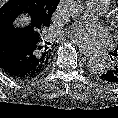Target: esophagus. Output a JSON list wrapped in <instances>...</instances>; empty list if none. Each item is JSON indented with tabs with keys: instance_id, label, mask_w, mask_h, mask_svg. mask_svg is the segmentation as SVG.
Instances as JSON below:
<instances>
[{
	"instance_id": "esophagus-1",
	"label": "esophagus",
	"mask_w": 118,
	"mask_h": 118,
	"mask_svg": "<svg viewBox=\"0 0 118 118\" xmlns=\"http://www.w3.org/2000/svg\"><path fill=\"white\" fill-rule=\"evenodd\" d=\"M81 50V52L83 53V55H85V56H87V57H92V54H91V52H89V51H87V50H85V49H80Z\"/></svg>"
}]
</instances>
